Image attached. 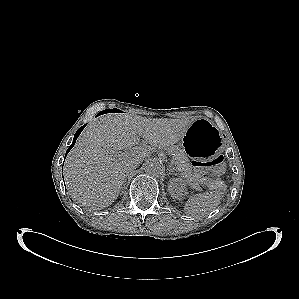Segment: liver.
Wrapping results in <instances>:
<instances>
[{"label": "liver", "instance_id": "6515ba94", "mask_svg": "<svg viewBox=\"0 0 299 299\" xmlns=\"http://www.w3.org/2000/svg\"><path fill=\"white\" fill-rule=\"evenodd\" d=\"M193 120L146 118L110 113L90 123L65 161L69 195L81 206L103 209L118 197L125 173L156 149L167 148L185 135ZM151 146L134 147L140 137ZM130 150L117 157L119 150Z\"/></svg>", "mask_w": 299, "mask_h": 299}]
</instances>
